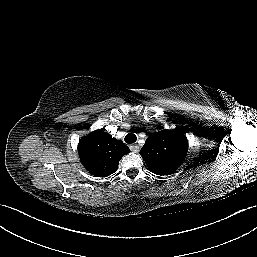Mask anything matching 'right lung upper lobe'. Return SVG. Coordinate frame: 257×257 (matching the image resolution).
<instances>
[{
  "label": "right lung upper lobe",
  "mask_w": 257,
  "mask_h": 257,
  "mask_svg": "<svg viewBox=\"0 0 257 257\" xmlns=\"http://www.w3.org/2000/svg\"><path fill=\"white\" fill-rule=\"evenodd\" d=\"M78 152L82 164L91 174L107 177L116 172L119 161L130 149L101 129L82 137Z\"/></svg>",
  "instance_id": "right-lung-upper-lobe-1"
}]
</instances>
